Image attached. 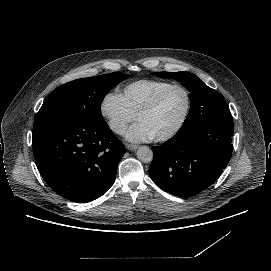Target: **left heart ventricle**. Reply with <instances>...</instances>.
I'll return each mask as SVG.
<instances>
[{
  "label": "left heart ventricle",
  "mask_w": 271,
  "mask_h": 271,
  "mask_svg": "<svg viewBox=\"0 0 271 271\" xmlns=\"http://www.w3.org/2000/svg\"><path fill=\"white\" fill-rule=\"evenodd\" d=\"M187 107V97L181 88L171 90L151 113L141 116L138 121L146 124L153 138L173 130L181 121Z\"/></svg>",
  "instance_id": "left-heart-ventricle-1"
}]
</instances>
